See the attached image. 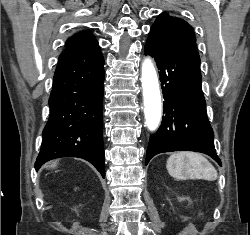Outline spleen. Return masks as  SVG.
<instances>
[{"label":"spleen","mask_w":250,"mask_h":235,"mask_svg":"<svg viewBox=\"0 0 250 235\" xmlns=\"http://www.w3.org/2000/svg\"><path fill=\"white\" fill-rule=\"evenodd\" d=\"M169 174L176 179H204L214 181L218 174L214 166L201 154L178 152L172 154L166 164Z\"/></svg>","instance_id":"3e777b00"}]
</instances>
